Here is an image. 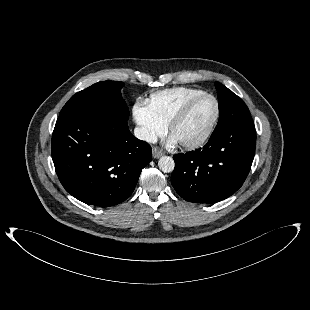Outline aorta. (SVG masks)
<instances>
[{
	"label": "aorta",
	"mask_w": 310,
	"mask_h": 310,
	"mask_svg": "<svg viewBox=\"0 0 310 310\" xmlns=\"http://www.w3.org/2000/svg\"><path fill=\"white\" fill-rule=\"evenodd\" d=\"M158 167L164 173L172 172L175 167L173 158L170 156H162L158 161Z\"/></svg>",
	"instance_id": "obj_1"
}]
</instances>
